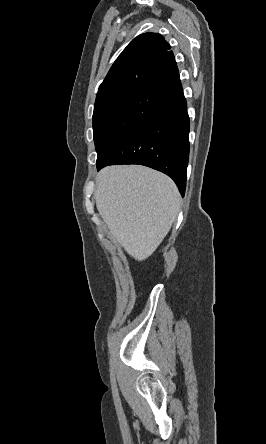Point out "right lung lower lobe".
Instances as JSON below:
<instances>
[{"label":"right lung lower lobe","mask_w":266,"mask_h":444,"mask_svg":"<svg viewBox=\"0 0 266 444\" xmlns=\"http://www.w3.org/2000/svg\"><path fill=\"white\" fill-rule=\"evenodd\" d=\"M189 117L183 94L165 102L99 164H140L161 171L185 193L189 160Z\"/></svg>","instance_id":"obj_1"}]
</instances>
